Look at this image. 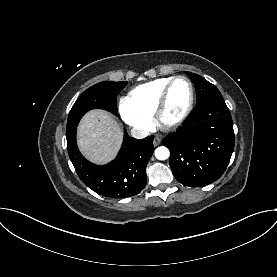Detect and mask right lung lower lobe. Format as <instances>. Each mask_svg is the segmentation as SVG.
I'll return each mask as SVG.
<instances>
[{"label":"right lung lower lobe","mask_w":277,"mask_h":277,"mask_svg":"<svg viewBox=\"0 0 277 277\" xmlns=\"http://www.w3.org/2000/svg\"><path fill=\"white\" fill-rule=\"evenodd\" d=\"M66 138L69 157L79 178L93 191L110 198H125L140 193L145 187L146 166L154 152L153 136L139 140L125 132L116 159L104 166L92 164L81 155L76 129L66 134Z\"/></svg>","instance_id":"right-lung-lower-lobe-1"}]
</instances>
